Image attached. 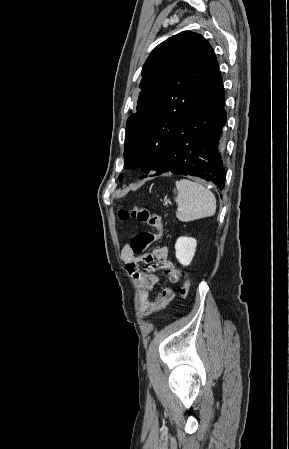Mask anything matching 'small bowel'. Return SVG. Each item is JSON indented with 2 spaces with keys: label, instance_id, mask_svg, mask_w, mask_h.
I'll list each match as a JSON object with an SVG mask.
<instances>
[{
  "label": "small bowel",
  "instance_id": "1",
  "mask_svg": "<svg viewBox=\"0 0 289 449\" xmlns=\"http://www.w3.org/2000/svg\"><path fill=\"white\" fill-rule=\"evenodd\" d=\"M121 258L126 263L127 271L138 283L140 309L144 316L164 309L174 299L175 291L170 287H163L159 293H153L159 281L155 271H164L171 284L178 283L181 277V271L168 260L166 247H158L151 254L138 256L128 243L122 248ZM141 264L146 266V271L141 269Z\"/></svg>",
  "mask_w": 289,
  "mask_h": 449
}]
</instances>
